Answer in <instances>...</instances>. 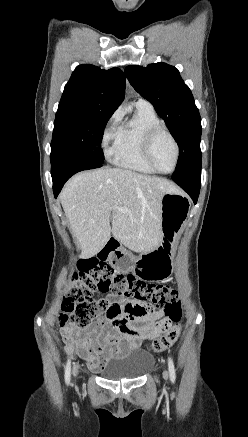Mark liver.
<instances>
[{
	"label": "liver",
	"mask_w": 248,
	"mask_h": 437,
	"mask_svg": "<svg viewBox=\"0 0 248 437\" xmlns=\"http://www.w3.org/2000/svg\"><path fill=\"white\" fill-rule=\"evenodd\" d=\"M174 192H178L176 187L163 178L101 168L73 176L60 201L82 256L90 258L105 246L111 233L134 252L148 253L156 248L161 236L162 196Z\"/></svg>",
	"instance_id": "obj_1"
}]
</instances>
